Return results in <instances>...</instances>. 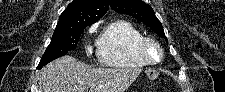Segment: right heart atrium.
Segmentation results:
<instances>
[{"mask_svg":"<svg viewBox=\"0 0 225 92\" xmlns=\"http://www.w3.org/2000/svg\"><path fill=\"white\" fill-rule=\"evenodd\" d=\"M93 32H94V27H91V28L88 30L87 34H88V35H91ZM86 48H87V50H89V46H87Z\"/></svg>","mask_w":225,"mask_h":92,"instance_id":"obj_1","label":"right heart atrium"}]
</instances>
